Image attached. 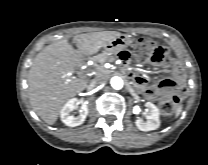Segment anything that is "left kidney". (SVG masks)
Here are the masks:
<instances>
[{
  "label": "left kidney",
  "instance_id": "1",
  "mask_svg": "<svg viewBox=\"0 0 208 165\" xmlns=\"http://www.w3.org/2000/svg\"><path fill=\"white\" fill-rule=\"evenodd\" d=\"M146 107V117L148 119L147 122H143L140 119L135 121L137 128L141 131H152L156 130L160 126V113L159 109L151 102H147L145 104Z\"/></svg>",
  "mask_w": 208,
  "mask_h": 165
}]
</instances>
